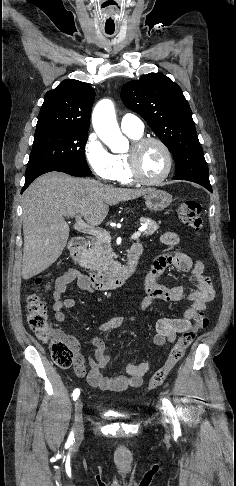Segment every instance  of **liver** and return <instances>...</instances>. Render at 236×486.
I'll use <instances>...</instances> for the list:
<instances>
[{"label": "liver", "mask_w": 236, "mask_h": 486, "mask_svg": "<svg viewBox=\"0 0 236 486\" xmlns=\"http://www.w3.org/2000/svg\"><path fill=\"white\" fill-rule=\"evenodd\" d=\"M152 190L116 188L61 172L37 178L23 194L22 278L38 275L60 257L69 238L66 216H80L97 226L106 218L109 205L136 199Z\"/></svg>", "instance_id": "liver-1"}]
</instances>
